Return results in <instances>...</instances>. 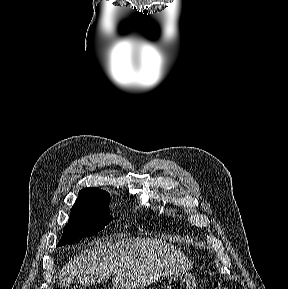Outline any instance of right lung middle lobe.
Masks as SVG:
<instances>
[{
  "instance_id": "obj_1",
  "label": "right lung middle lobe",
  "mask_w": 288,
  "mask_h": 289,
  "mask_svg": "<svg viewBox=\"0 0 288 289\" xmlns=\"http://www.w3.org/2000/svg\"><path fill=\"white\" fill-rule=\"evenodd\" d=\"M109 193L98 197H78L71 209V217L63 229L58 246L79 242V238L95 235L111 220Z\"/></svg>"
}]
</instances>
